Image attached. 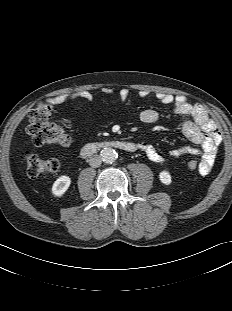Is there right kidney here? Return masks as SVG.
Instances as JSON below:
<instances>
[{
    "label": "right kidney",
    "instance_id": "ca27d5eb",
    "mask_svg": "<svg viewBox=\"0 0 232 311\" xmlns=\"http://www.w3.org/2000/svg\"><path fill=\"white\" fill-rule=\"evenodd\" d=\"M71 184V179L66 176L62 175L60 176L52 186V194L57 197H61L69 188Z\"/></svg>",
    "mask_w": 232,
    "mask_h": 311
}]
</instances>
